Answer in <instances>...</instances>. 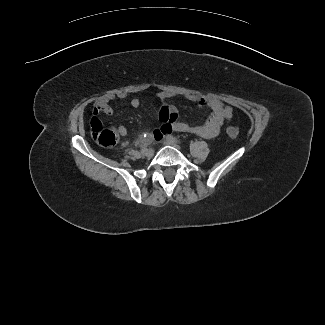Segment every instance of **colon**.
<instances>
[{
    "label": "colon",
    "instance_id": "obj_1",
    "mask_svg": "<svg viewBox=\"0 0 325 325\" xmlns=\"http://www.w3.org/2000/svg\"><path fill=\"white\" fill-rule=\"evenodd\" d=\"M90 129L92 138L99 145L103 147H112L116 144L118 139L117 131L105 128L96 116H93L90 120ZM226 132L230 137H236L239 130L236 127L229 126Z\"/></svg>",
    "mask_w": 325,
    "mask_h": 325
}]
</instances>
